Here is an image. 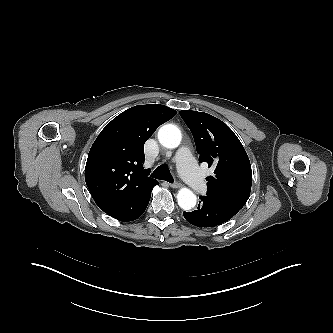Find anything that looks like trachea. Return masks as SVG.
Returning <instances> with one entry per match:
<instances>
[{
  "label": "trachea",
  "mask_w": 333,
  "mask_h": 333,
  "mask_svg": "<svg viewBox=\"0 0 333 333\" xmlns=\"http://www.w3.org/2000/svg\"><path fill=\"white\" fill-rule=\"evenodd\" d=\"M151 177L159 180H164L170 183L174 182V179L170 173L168 166L164 164L158 166L151 174Z\"/></svg>",
  "instance_id": "3493384b"
}]
</instances>
